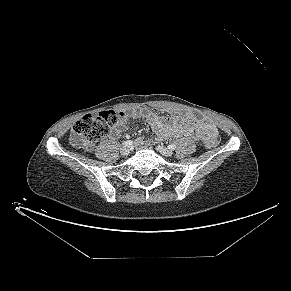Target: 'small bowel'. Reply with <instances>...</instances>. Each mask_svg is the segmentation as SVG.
<instances>
[{
    "mask_svg": "<svg viewBox=\"0 0 291 291\" xmlns=\"http://www.w3.org/2000/svg\"><path fill=\"white\" fill-rule=\"evenodd\" d=\"M129 115L134 118H143L156 133L158 139H164L169 136H190L205 140L208 135L216 132V127L211 122L199 119L192 114L163 117L147 109H136L131 111ZM120 133V129L116 130V135ZM137 142H144V138H139Z\"/></svg>",
    "mask_w": 291,
    "mask_h": 291,
    "instance_id": "1",
    "label": "small bowel"
}]
</instances>
